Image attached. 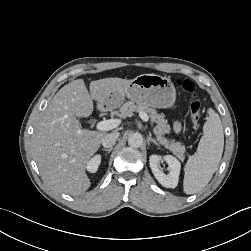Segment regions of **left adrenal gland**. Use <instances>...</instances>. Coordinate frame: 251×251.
<instances>
[{
	"label": "left adrenal gland",
	"mask_w": 251,
	"mask_h": 251,
	"mask_svg": "<svg viewBox=\"0 0 251 251\" xmlns=\"http://www.w3.org/2000/svg\"><path fill=\"white\" fill-rule=\"evenodd\" d=\"M148 142H152V143H154L155 145L159 146V143H158L155 139H153V138H151V137L148 138Z\"/></svg>",
	"instance_id": "1"
}]
</instances>
